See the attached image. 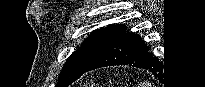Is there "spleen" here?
<instances>
[{
    "mask_svg": "<svg viewBox=\"0 0 205 87\" xmlns=\"http://www.w3.org/2000/svg\"><path fill=\"white\" fill-rule=\"evenodd\" d=\"M142 87H151V84H150V83H144V84L142 85Z\"/></svg>",
    "mask_w": 205,
    "mask_h": 87,
    "instance_id": "spleen-1",
    "label": "spleen"
}]
</instances>
